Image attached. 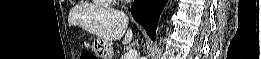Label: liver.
<instances>
[{
    "mask_svg": "<svg viewBox=\"0 0 261 59\" xmlns=\"http://www.w3.org/2000/svg\"><path fill=\"white\" fill-rule=\"evenodd\" d=\"M69 26L78 25L89 33L107 41H116L124 35L123 44L127 45L133 38V32L128 29L129 18L119 10L98 9L89 11L84 15L74 13L69 16Z\"/></svg>",
    "mask_w": 261,
    "mask_h": 59,
    "instance_id": "obj_1",
    "label": "liver"
}]
</instances>
